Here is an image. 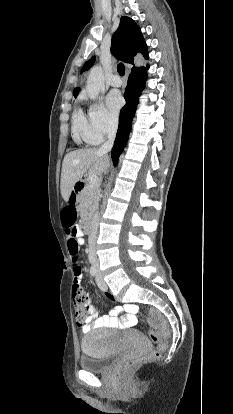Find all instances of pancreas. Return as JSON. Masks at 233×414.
<instances>
[{
    "label": "pancreas",
    "mask_w": 233,
    "mask_h": 414,
    "mask_svg": "<svg viewBox=\"0 0 233 414\" xmlns=\"http://www.w3.org/2000/svg\"><path fill=\"white\" fill-rule=\"evenodd\" d=\"M78 210L82 218L90 216L98 201V186L88 182L84 192L78 198Z\"/></svg>",
    "instance_id": "cf45deb5"
}]
</instances>
